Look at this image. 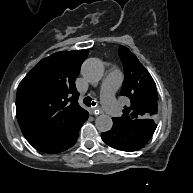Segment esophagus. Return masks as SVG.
Listing matches in <instances>:
<instances>
[{
	"label": "esophagus",
	"instance_id": "1",
	"mask_svg": "<svg viewBox=\"0 0 193 193\" xmlns=\"http://www.w3.org/2000/svg\"><path fill=\"white\" fill-rule=\"evenodd\" d=\"M92 112H93L94 115L97 116L101 113V110H100V108H96V109L92 110Z\"/></svg>",
	"mask_w": 193,
	"mask_h": 193
}]
</instances>
